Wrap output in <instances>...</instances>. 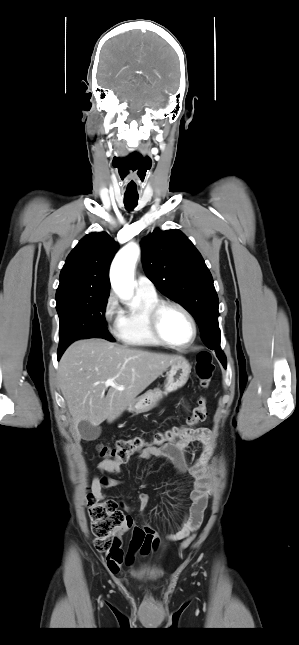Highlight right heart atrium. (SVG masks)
Instances as JSON below:
<instances>
[{
    "label": "right heart atrium",
    "instance_id": "obj_1",
    "mask_svg": "<svg viewBox=\"0 0 299 645\" xmlns=\"http://www.w3.org/2000/svg\"><path fill=\"white\" fill-rule=\"evenodd\" d=\"M103 318L109 324V329L113 334L117 333L120 323V309L117 298L110 293L103 306Z\"/></svg>",
    "mask_w": 299,
    "mask_h": 645
}]
</instances>
